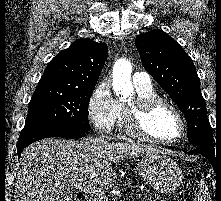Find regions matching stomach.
I'll use <instances>...</instances> for the list:
<instances>
[{"mask_svg": "<svg viewBox=\"0 0 221 201\" xmlns=\"http://www.w3.org/2000/svg\"><path fill=\"white\" fill-rule=\"evenodd\" d=\"M136 171L148 184L162 193L175 190L183 178L181 168L163 151L146 155L137 163Z\"/></svg>", "mask_w": 221, "mask_h": 201, "instance_id": "0dacf381", "label": "stomach"}]
</instances>
